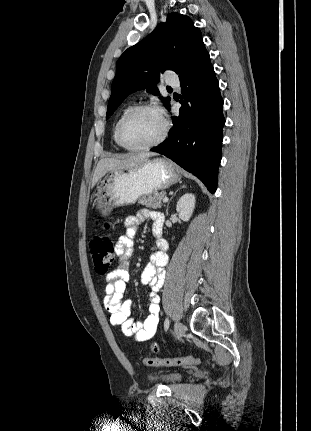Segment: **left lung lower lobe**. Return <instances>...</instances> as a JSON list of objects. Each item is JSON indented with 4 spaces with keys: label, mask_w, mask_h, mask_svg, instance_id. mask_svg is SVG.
<instances>
[{
    "label": "left lung lower lobe",
    "mask_w": 311,
    "mask_h": 431,
    "mask_svg": "<svg viewBox=\"0 0 311 431\" xmlns=\"http://www.w3.org/2000/svg\"><path fill=\"white\" fill-rule=\"evenodd\" d=\"M183 100L168 138L150 151L170 158L214 193L221 161L223 99L207 50L180 77Z\"/></svg>",
    "instance_id": "left-lung-lower-lobe-1"
}]
</instances>
